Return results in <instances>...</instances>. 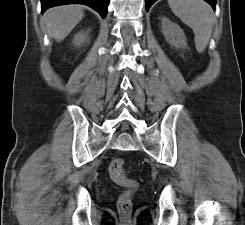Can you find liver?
Listing matches in <instances>:
<instances>
[{
    "mask_svg": "<svg viewBox=\"0 0 245 225\" xmlns=\"http://www.w3.org/2000/svg\"><path fill=\"white\" fill-rule=\"evenodd\" d=\"M84 17L80 5H63L48 9L42 23L48 35L57 42L63 41Z\"/></svg>",
    "mask_w": 245,
    "mask_h": 225,
    "instance_id": "liver-1",
    "label": "liver"
}]
</instances>
